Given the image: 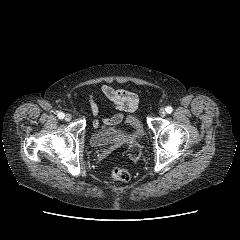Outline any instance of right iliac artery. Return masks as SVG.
Wrapping results in <instances>:
<instances>
[{
  "label": "right iliac artery",
  "mask_w": 240,
  "mask_h": 240,
  "mask_svg": "<svg viewBox=\"0 0 240 240\" xmlns=\"http://www.w3.org/2000/svg\"><path fill=\"white\" fill-rule=\"evenodd\" d=\"M57 116H58L59 119H63L64 118V113L63 112H59Z\"/></svg>",
  "instance_id": "1"
}]
</instances>
